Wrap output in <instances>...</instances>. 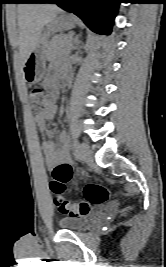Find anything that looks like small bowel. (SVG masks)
<instances>
[{
	"label": "small bowel",
	"instance_id": "small-bowel-1",
	"mask_svg": "<svg viewBox=\"0 0 166 267\" xmlns=\"http://www.w3.org/2000/svg\"><path fill=\"white\" fill-rule=\"evenodd\" d=\"M59 66L56 64L51 65V71L53 77L45 81V85L55 94L57 92L56 72ZM64 76L69 74L67 66H62ZM56 112L55 107L35 114L34 121L37 125L38 131L41 135V149L46 162V165L52 171L56 167H68L71 168V158L67 145V134L64 130L58 134V147L56 148L50 138L53 135V131L46 127V121L54 117Z\"/></svg>",
	"mask_w": 166,
	"mask_h": 267
}]
</instances>
